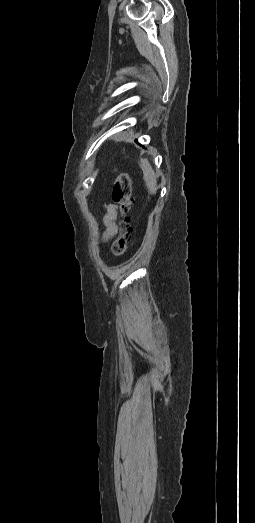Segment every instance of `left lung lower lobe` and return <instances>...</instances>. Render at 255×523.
<instances>
[{
    "mask_svg": "<svg viewBox=\"0 0 255 523\" xmlns=\"http://www.w3.org/2000/svg\"><path fill=\"white\" fill-rule=\"evenodd\" d=\"M143 137H146V134H143ZM138 140H141V137H138ZM144 144H147V141H144Z\"/></svg>",
    "mask_w": 255,
    "mask_h": 523,
    "instance_id": "1",
    "label": "left lung lower lobe"
}]
</instances>
